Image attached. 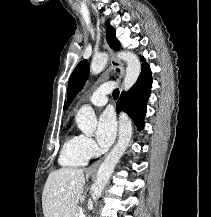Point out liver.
Instances as JSON below:
<instances>
[{"instance_id":"liver-1","label":"liver","mask_w":211,"mask_h":217,"mask_svg":"<svg viewBox=\"0 0 211 217\" xmlns=\"http://www.w3.org/2000/svg\"><path fill=\"white\" fill-rule=\"evenodd\" d=\"M86 178L83 169L61 168L51 172L42 194L44 217H72L83 193Z\"/></svg>"}]
</instances>
